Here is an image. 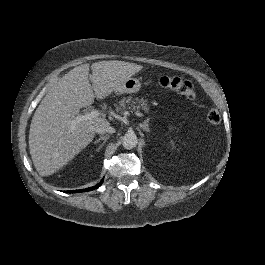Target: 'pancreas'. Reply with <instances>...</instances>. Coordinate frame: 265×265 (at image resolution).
Masks as SVG:
<instances>
[{
	"label": "pancreas",
	"instance_id": "obj_1",
	"mask_svg": "<svg viewBox=\"0 0 265 265\" xmlns=\"http://www.w3.org/2000/svg\"><path fill=\"white\" fill-rule=\"evenodd\" d=\"M138 102V104H137ZM146 101L144 99L133 98L132 96L122 97L121 100L117 101L113 104L114 110L120 112L121 114L126 113L128 110H138L139 106H142L144 111H148L147 107L145 106Z\"/></svg>",
	"mask_w": 265,
	"mask_h": 265
}]
</instances>
